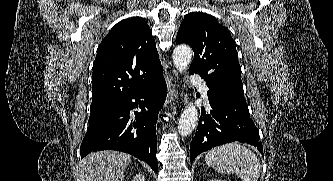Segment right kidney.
<instances>
[{
    "instance_id": "1",
    "label": "right kidney",
    "mask_w": 333,
    "mask_h": 181,
    "mask_svg": "<svg viewBox=\"0 0 333 181\" xmlns=\"http://www.w3.org/2000/svg\"><path fill=\"white\" fill-rule=\"evenodd\" d=\"M131 181H145V178L142 174H137Z\"/></svg>"
}]
</instances>
